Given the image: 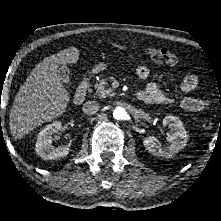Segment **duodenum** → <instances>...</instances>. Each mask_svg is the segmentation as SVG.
<instances>
[{
    "label": "duodenum",
    "mask_w": 221,
    "mask_h": 221,
    "mask_svg": "<svg viewBox=\"0 0 221 221\" xmlns=\"http://www.w3.org/2000/svg\"><path fill=\"white\" fill-rule=\"evenodd\" d=\"M89 83H90L89 76L83 78L81 80V82L79 83V86H78L76 93L74 95V104L75 105H81L84 102V100L87 96Z\"/></svg>",
    "instance_id": "obj_1"
}]
</instances>
